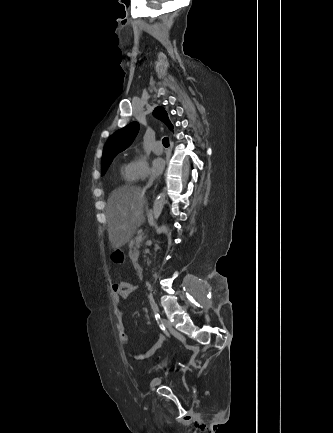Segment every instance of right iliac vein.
<instances>
[{
	"label": "right iliac vein",
	"instance_id": "right-iliac-vein-1",
	"mask_svg": "<svg viewBox=\"0 0 333 433\" xmlns=\"http://www.w3.org/2000/svg\"><path fill=\"white\" fill-rule=\"evenodd\" d=\"M171 333L177 337L178 339L182 340L183 342H185V337L183 335H181L180 333H178L176 330L171 329ZM161 382L160 378H154L151 382V390L153 391L155 389L156 386H158Z\"/></svg>",
	"mask_w": 333,
	"mask_h": 433
}]
</instances>
